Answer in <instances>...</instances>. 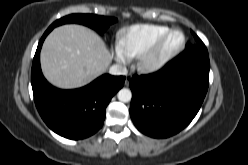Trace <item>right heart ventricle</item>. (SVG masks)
Here are the masks:
<instances>
[{
  "instance_id": "right-heart-ventricle-1",
  "label": "right heart ventricle",
  "mask_w": 248,
  "mask_h": 165,
  "mask_svg": "<svg viewBox=\"0 0 248 165\" xmlns=\"http://www.w3.org/2000/svg\"><path fill=\"white\" fill-rule=\"evenodd\" d=\"M169 30L158 24H137L125 28L118 37L117 47L126 58L138 57L158 36Z\"/></svg>"
}]
</instances>
